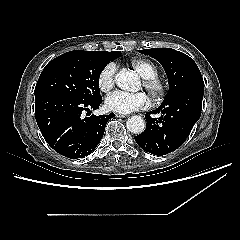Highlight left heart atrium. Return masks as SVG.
I'll return each instance as SVG.
<instances>
[{"label": "left heart atrium", "mask_w": 240, "mask_h": 240, "mask_svg": "<svg viewBox=\"0 0 240 240\" xmlns=\"http://www.w3.org/2000/svg\"><path fill=\"white\" fill-rule=\"evenodd\" d=\"M105 104L113 112L128 114L145 108L148 105V99L143 92L128 93L118 90L106 98Z\"/></svg>", "instance_id": "1"}]
</instances>
